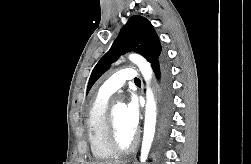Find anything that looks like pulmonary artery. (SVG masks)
Returning a JSON list of instances; mask_svg holds the SVG:
<instances>
[{"label":"pulmonary artery","mask_w":251,"mask_h":164,"mask_svg":"<svg viewBox=\"0 0 251 164\" xmlns=\"http://www.w3.org/2000/svg\"><path fill=\"white\" fill-rule=\"evenodd\" d=\"M137 77V72L132 68L119 70L102 84L100 87V93L111 96L117 92L126 82L134 81Z\"/></svg>","instance_id":"obj_1"}]
</instances>
